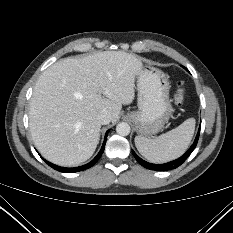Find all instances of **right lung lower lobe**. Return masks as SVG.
Segmentation results:
<instances>
[{
  "mask_svg": "<svg viewBox=\"0 0 233 233\" xmlns=\"http://www.w3.org/2000/svg\"><path fill=\"white\" fill-rule=\"evenodd\" d=\"M108 132H106L105 134V139H104V142H103V145L99 151V153L96 155V157L90 161L89 163L83 165V166H79V167H74V168H66V167H60V166H57V165H54L46 160H44L49 166H51L53 169L57 170V171H60V172H64V173H74V172H78V171H83L85 169H88L90 167H92L101 157V155L103 154V151H104V148H105V144H106V140H107V135H108Z\"/></svg>",
  "mask_w": 233,
  "mask_h": 233,
  "instance_id": "98d812e1",
  "label": "right lung lower lobe"
}]
</instances>
